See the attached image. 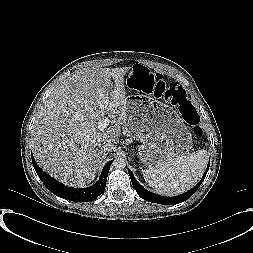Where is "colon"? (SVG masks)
Returning <instances> with one entry per match:
<instances>
[{
  "label": "colon",
  "instance_id": "1",
  "mask_svg": "<svg viewBox=\"0 0 253 253\" xmlns=\"http://www.w3.org/2000/svg\"><path fill=\"white\" fill-rule=\"evenodd\" d=\"M150 77V72L143 66L137 65L133 69L132 80L147 79ZM157 94L164 95L171 102L178 106L179 111L186 122L193 126V134L196 138H201L203 135L202 128L198 125L199 116L193 105L189 102L184 89L174 82L168 81L161 77L157 84Z\"/></svg>",
  "mask_w": 253,
  "mask_h": 253
}]
</instances>
